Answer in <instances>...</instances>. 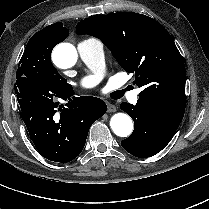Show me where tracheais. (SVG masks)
<instances>
[{"instance_id": "obj_1", "label": "trachea", "mask_w": 209, "mask_h": 209, "mask_svg": "<svg viewBox=\"0 0 209 209\" xmlns=\"http://www.w3.org/2000/svg\"><path fill=\"white\" fill-rule=\"evenodd\" d=\"M123 93H124V90H117L115 92H112L110 94V96L113 98V99H119L123 96Z\"/></svg>"}]
</instances>
